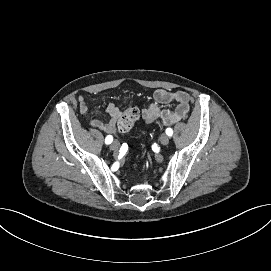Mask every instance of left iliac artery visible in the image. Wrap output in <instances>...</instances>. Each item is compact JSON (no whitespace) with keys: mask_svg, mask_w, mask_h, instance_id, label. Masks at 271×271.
<instances>
[{"mask_svg":"<svg viewBox=\"0 0 271 271\" xmlns=\"http://www.w3.org/2000/svg\"><path fill=\"white\" fill-rule=\"evenodd\" d=\"M166 134H167L168 136H172L173 130H172L171 128H167V129H166Z\"/></svg>","mask_w":271,"mask_h":271,"instance_id":"1","label":"left iliac artery"}]
</instances>
